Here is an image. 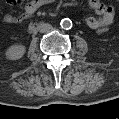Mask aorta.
<instances>
[{
	"instance_id": "aorta-1",
	"label": "aorta",
	"mask_w": 119,
	"mask_h": 119,
	"mask_svg": "<svg viewBox=\"0 0 119 119\" xmlns=\"http://www.w3.org/2000/svg\"><path fill=\"white\" fill-rule=\"evenodd\" d=\"M60 25L63 29H70L72 27V21L69 18L61 20Z\"/></svg>"
}]
</instances>
